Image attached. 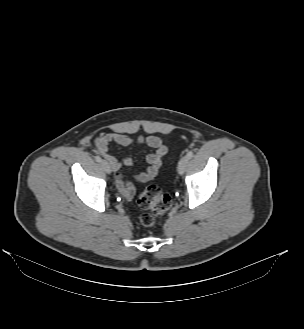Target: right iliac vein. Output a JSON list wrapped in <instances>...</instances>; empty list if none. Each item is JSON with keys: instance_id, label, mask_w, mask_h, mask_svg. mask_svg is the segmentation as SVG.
Listing matches in <instances>:
<instances>
[{"instance_id": "right-iliac-vein-1", "label": "right iliac vein", "mask_w": 304, "mask_h": 329, "mask_svg": "<svg viewBox=\"0 0 304 329\" xmlns=\"http://www.w3.org/2000/svg\"><path fill=\"white\" fill-rule=\"evenodd\" d=\"M101 166L105 170L106 173H108V174L111 173V167L106 160L101 161Z\"/></svg>"}]
</instances>
